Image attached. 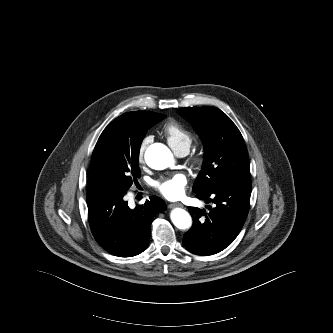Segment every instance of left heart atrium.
I'll return each mask as SVG.
<instances>
[{
  "label": "left heart atrium",
  "instance_id": "39dd6f15",
  "mask_svg": "<svg viewBox=\"0 0 333 333\" xmlns=\"http://www.w3.org/2000/svg\"><path fill=\"white\" fill-rule=\"evenodd\" d=\"M187 179L184 174L178 173L171 177L155 182L154 187L168 199H178L183 196Z\"/></svg>",
  "mask_w": 333,
  "mask_h": 333
}]
</instances>
